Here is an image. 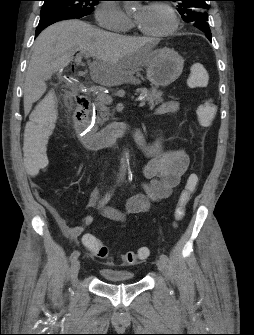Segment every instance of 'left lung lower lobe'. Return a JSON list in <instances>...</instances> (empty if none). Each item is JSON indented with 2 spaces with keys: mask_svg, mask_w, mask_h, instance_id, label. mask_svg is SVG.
<instances>
[{
  "mask_svg": "<svg viewBox=\"0 0 254 335\" xmlns=\"http://www.w3.org/2000/svg\"><path fill=\"white\" fill-rule=\"evenodd\" d=\"M211 41V37H207Z\"/></svg>",
  "mask_w": 254,
  "mask_h": 335,
  "instance_id": "0a47b994",
  "label": "left lung lower lobe"
}]
</instances>
